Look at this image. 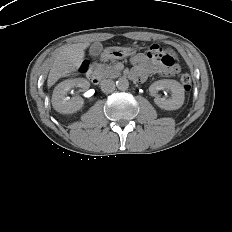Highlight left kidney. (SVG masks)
<instances>
[{"mask_svg": "<svg viewBox=\"0 0 232 232\" xmlns=\"http://www.w3.org/2000/svg\"><path fill=\"white\" fill-rule=\"evenodd\" d=\"M170 90L171 98H161L158 96V91ZM149 92L155 96L154 102L158 107L164 110H177L182 107L185 99L184 88L176 80L163 79L155 81L149 87Z\"/></svg>", "mask_w": 232, "mask_h": 232, "instance_id": "left-kidney-1", "label": "left kidney"}]
</instances>
